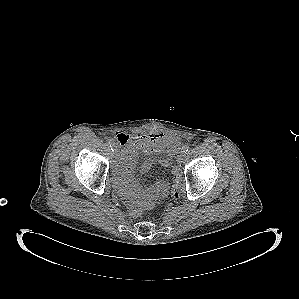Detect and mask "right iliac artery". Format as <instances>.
Returning <instances> with one entry per match:
<instances>
[{
	"mask_svg": "<svg viewBox=\"0 0 299 299\" xmlns=\"http://www.w3.org/2000/svg\"><path fill=\"white\" fill-rule=\"evenodd\" d=\"M108 142L110 143V145H112V146L114 145V141H113V139L110 138V139L108 140Z\"/></svg>",
	"mask_w": 299,
	"mask_h": 299,
	"instance_id": "1",
	"label": "right iliac artery"
}]
</instances>
